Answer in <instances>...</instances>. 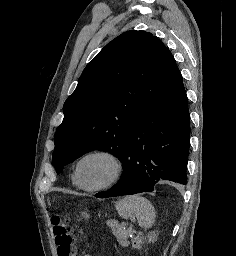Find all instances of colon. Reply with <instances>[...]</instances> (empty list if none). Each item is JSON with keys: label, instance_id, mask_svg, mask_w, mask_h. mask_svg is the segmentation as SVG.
<instances>
[{"label": "colon", "instance_id": "5ec220e1", "mask_svg": "<svg viewBox=\"0 0 236 256\" xmlns=\"http://www.w3.org/2000/svg\"><path fill=\"white\" fill-rule=\"evenodd\" d=\"M51 224L57 256H74L73 237L65 224V217L55 213L51 218Z\"/></svg>", "mask_w": 236, "mask_h": 256}]
</instances>
